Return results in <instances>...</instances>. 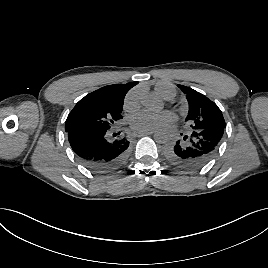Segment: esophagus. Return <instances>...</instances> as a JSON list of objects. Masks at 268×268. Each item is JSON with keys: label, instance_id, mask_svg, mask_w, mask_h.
Instances as JSON below:
<instances>
[{"label": "esophagus", "instance_id": "34e87169", "mask_svg": "<svg viewBox=\"0 0 268 268\" xmlns=\"http://www.w3.org/2000/svg\"><path fill=\"white\" fill-rule=\"evenodd\" d=\"M139 136H140V138H142V139H143V138H145V136H146V135H145V133H143V132H142V133H140V135H139Z\"/></svg>", "mask_w": 268, "mask_h": 268}]
</instances>
